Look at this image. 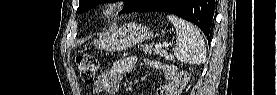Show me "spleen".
<instances>
[{
  "label": "spleen",
  "instance_id": "3e777b00",
  "mask_svg": "<svg viewBox=\"0 0 277 95\" xmlns=\"http://www.w3.org/2000/svg\"><path fill=\"white\" fill-rule=\"evenodd\" d=\"M167 18L176 30L177 47L174 54L177 60L189 64L203 63L206 58V48L198 28L173 15H168Z\"/></svg>",
  "mask_w": 277,
  "mask_h": 95
}]
</instances>
